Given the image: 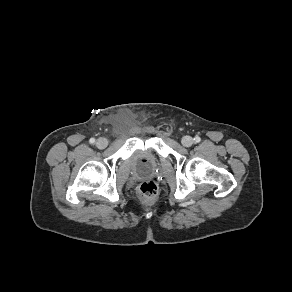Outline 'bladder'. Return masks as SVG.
<instances>
[{"label": "bladder", "instance_id": "obj_1", "mask_svg": "<svg viewBox=\"0 0 292 292\" xmlns=\"http://www.w3.org/2000/svg\"><path fill=\"white\" fill-rule=\"evenodd\" d=\"M133 173L137 176H150L159 168V160L151 149H137L129 158Z\"/></svg>", "mask_w": 292, "mask_h": 292}]
</instances>
